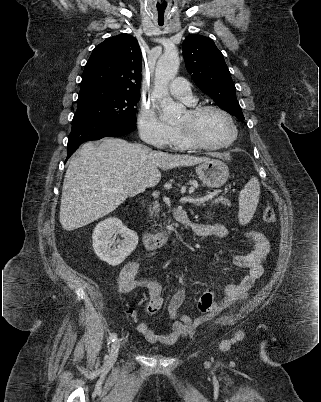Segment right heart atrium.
<instances>
[{
  "instance_id": "d8ad5b80",
  "label": "right heart atrium",
  "mask_w": 321,
  "mask_h": 402,
  "mask_svg": "<svg viewBox=\"0 0 321 402\" xmlns=\"http://www.w3.org/2000/svg\"><path fill=\"white\" fill-rule=\"evenodd\" d=\"M141 139L149 145L164 148L172 143L175 128L163 122L150 106H142L137 116Z\"/></svg>"
}]
</instances>
